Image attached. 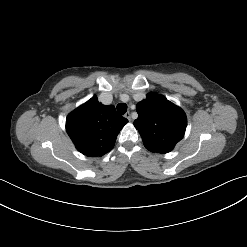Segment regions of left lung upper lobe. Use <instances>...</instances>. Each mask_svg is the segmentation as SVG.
<instances>
[{
  "instance_id": "1",
  "label": "left lung upper lobe",
  "mask_w": 247,
  "mask_h": 247,
  "mask_svg": "<svg viewBox=\"0 0 247 247\" xmlns=\"http://www.w3.org/2000/svg\"><path fill=\"white\" fill-rule=\"evenodd\" d=\"M134 126L147 150L168 153L183 138L186 129L184 112L162 95L148 93L137 104Z\"/></svg>"
}]
</instances>
